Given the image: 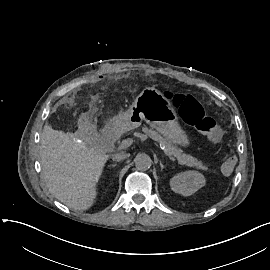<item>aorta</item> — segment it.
<instances>
[{"mask_svg":"<svg viewBox=\"0 0 270 270\" xmlns=\"http://www.w3.org/2000/svg\"><path fill=\"white\" fill-rule=\"evenodd\" d=\"M135 166L138 170H147L151 167L152 160L147 154H137L134 159Z\"/></svg>","mask_w":270,"mask_h":270,"instance_id":"aorta-1","label":"aorta"}]
</instances>
